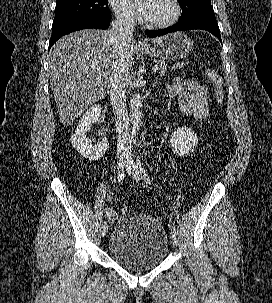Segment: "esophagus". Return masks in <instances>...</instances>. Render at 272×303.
Instances as JSON below:
<instances>
[{"label":"esophagus","instance_id":"obj_1","mask_svg":"<svg viewBox=\"0 0 272 303\" xmlns=\"http://www.w3.org/2000/svg\"><path fill=\"white\" fill-rule=\"evenodd\" d=\"M138 45H139V46H145L146 43H145L144 41H139V42H138Z\"/></svg>","mask_w":272,"mask_h":303}]
</instances>
